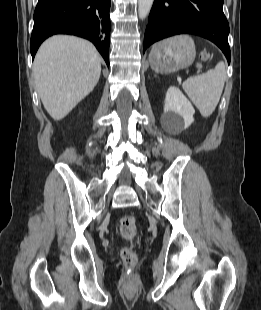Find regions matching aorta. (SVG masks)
<instances>
[{
    "instance_id": "aorta-1",
    "label": "aorta",
    "mask_w": 261,
    "mask_h": 310,
    "mask_svg": "<svg viewBox=\"0 0 261 310\" xmlns=\"http://www.w3.org/2000/svg\"><path fill=\"white\" fill-rule=\"evenodd\" d=\"M154 0H138V13L141 19H145L149 14Z\"/></svg>"
}]
</instances>
